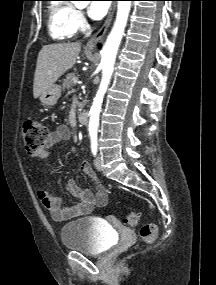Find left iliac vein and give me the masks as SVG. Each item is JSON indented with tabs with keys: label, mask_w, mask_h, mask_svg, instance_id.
<instances>
[{
	"label": "left iliac vein",
	"mask_w": 216,
	"mask_h": 285,
	"mask_svg": "<svg viewBox=\"0 0 216 285\" xmlns=\"http://www.w3.org/2000/svg\"><path fill=\"white\" fill-rule=\"evenodd\" d=\"M94 165L98 171L102 170V160L99 156H97L94 160Z\"/></svg>",
	"instance_id": "1"
}]
</instances>
